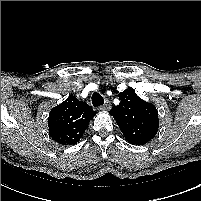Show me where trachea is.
I'll use <instances>...</instances> for the list:
<instances>
[{"label":"trachea","instance_id":"3493384b","mask_svg":"<svg viewBox=\"0 0 201 201\" xmlns=\"http://www.w3.org/2000/svg\"><path fill=\"white\" fill-rule=\"evenodd\" d=\"M92 104L94 107L103 105L104 104L103 96L98 92H94L92 95Z\"/></svg>","mask_w":201,"mask_h":201}]
</instances>
